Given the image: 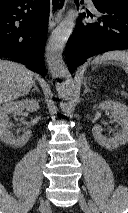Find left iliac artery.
Instances as JSON below:
<instances>
[{
    "label": "left iliac artery",
    "mask_w": 128,
    "mask_h": 213,
    "mask_svg": "<svg viewBox=\"0 0 128 213\" xmlns=\"http://www.w3.org/2000/svg\"><path fill=\"white\" fill-rule=\"evenodd\" d=\"M89 203H90L93 213H99L97 206L92 201H89Z\"/></svg>",
    "instance_id": "1"
}]
</instances>
